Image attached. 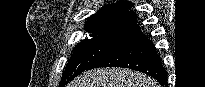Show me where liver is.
<instances>
[{
	"label": "liver",
	"mask_w": 205,
	"mask_h": 87,
	"mask_svg": "<svg viewBox=\"0 0 205 87\" xmlns=\"http://www.w3.org/2000/svg\"><path fill=\"white\" fill-rule=\"evenodd\" d=\"M68 87H159L145 74L124 68L88 70L68 84Z\"/></svg>",
	"instance_id": "liver-1"
}]
</instances>
